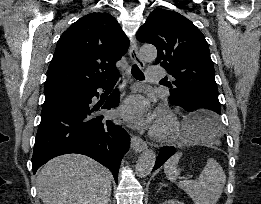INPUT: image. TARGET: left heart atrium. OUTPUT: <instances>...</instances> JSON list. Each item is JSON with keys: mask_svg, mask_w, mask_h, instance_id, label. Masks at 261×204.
Returning a JSON list of instances; mask_svg holds the SVG:
<instances>
[{"mask_svg": "<svg viewBox=\"0 0 261 204\" xmlns=\"http://www.w3.org/2000/svg\"><path fill=\"white\" fill-rule=\"evenodd\" d=\"M118 114L127 123L136 128H145L155 122L149 101L140 95L127 98L118 110Z\"/></svg>", "mask_w": 261, "mask_h": 204, "instance_id": "obj_1", "label": "left heart atrium"}]
</instances>
